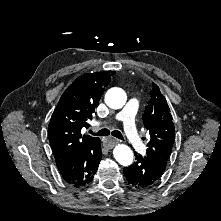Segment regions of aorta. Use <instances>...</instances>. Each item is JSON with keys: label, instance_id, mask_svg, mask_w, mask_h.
<instances>
[{"label": "aorta", "instance_id": "obj_1", "mask_svg": "<svg viewBox=\"0 0 221 221\" xmlns=\"http://www.w3.org/2000/svg\"><path fill=\"white\" fill-rule=\"evenodd\" d=\"M126 100V93L121 88H111L105 95V103L112 109L122 108ZM113 154L116 161L123 166H128L133 161V152L127 145L118 144L114 148Z\"/></svg>", "mask_w": 221, "mask_h": 221}]
</instances>
